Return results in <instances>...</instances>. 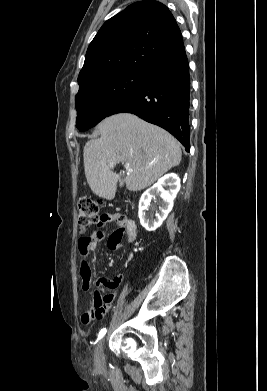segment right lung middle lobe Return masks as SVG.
<instances>
[{
  "mask_svg": "<svg viewBox=\"0 0 267 391\" xmlns=\"http://www.w3.org/2000/svg\"><path fill=\"white\" fill-rule=\"evenodd\" d=\"M146 73L121 71L88 80L75 98L76 127L86 131L97 125L143 84Z\"/></svg>",
  "mask_w": 267,
  "mask_h": 391,
  "instance_id": "1",
  "label": "right lung middle lobe"
}]
</instances>
